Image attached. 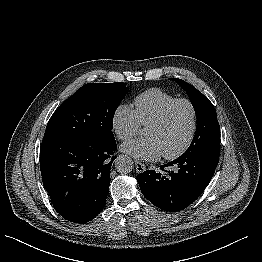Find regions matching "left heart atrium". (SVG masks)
<instances>
[{
  "mask_svg": "<svg viewBox=\"0 0 262 262\" xmlns=\"http://www.w3.org/2000/svg\"><path fill=\"white\" fill-rule=\"evenodd\" d=\"M121 150L144 161H156L163 155L158 142L151 137L126 142L121 146Z\"/></svg>",
  "mask_w": 262,
  "mask_h": 262,
  "instance_id": "left-heart-atrium-1",
  "label": "left heart atrium"
}]
</instances>
